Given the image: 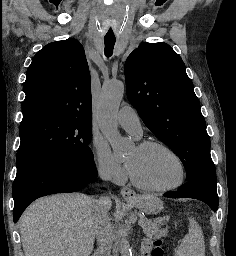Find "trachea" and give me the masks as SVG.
<instances>
[{
    "instance_id": "obj_1",
    "label": "trachea",
    "mask_w": 236,
    "mask_h": 256,
    "mask_svg": "<svg viewBox=\"0 0 236 256\" xmlns=\"http://www.w3.org/2000/svg\"><path fill=\"white\" fill-rule=\"evenodd\" d=\"M105 43V55L109 58L113 53V47L115 45V38H104Z\"/></svg>"
}]
</instances>
